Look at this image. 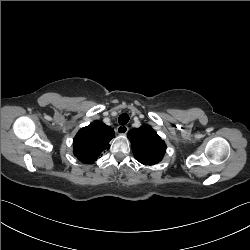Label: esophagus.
Returning <instances> with one entry per match:
<instances>
[{
	"label": "esophagus",
	"mask_w": 250,
	"mask_h": 250,
	"mask_svg": "<svg viewBox=\"0 0 250 250\" xmlns=\"http://www.w3.org/2000/svg\"><path fill=\"white\" fill-rule=\"evenodd\" d=\"M128 130H129V128H128V126H126V125H119L118 127H117V133L118 134H126L127 132H128Z\"/></svg>",
	"instance_id": "obj_1"
}]
</instances>
